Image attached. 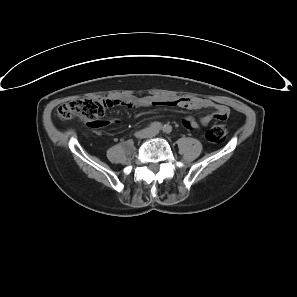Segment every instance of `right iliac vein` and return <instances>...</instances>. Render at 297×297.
<instances>
[{
	"label": "right iliac vein",
	"instance_id": "obj_1",
	"mask_svg": "<svg viewBox=\"0 0 297 297\" xmlns=\"http://www.w3.org/2000/svg\"><path fill=\"white\" fill-rule=\"evenodd\" d=\"M147 135H148V131L146 129L140 130L135 134L136 138L138 139L145 138Z\"/></svg>",
	"mask_w": 297,
	"mask_h": 297
}]
</instances>
